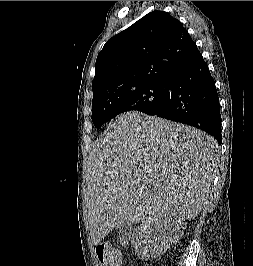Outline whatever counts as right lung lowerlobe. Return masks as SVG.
Segmentation results:
<instances>
[{"mask_svg": "<svg viewBox=\"0 0 253 266\" xmlns=\"http://www.w3.org/2000/svg\"><path fill=\"white\" fill-rule=\"evenodd\" d=\"M164 84L163 103L149 115L202 129L221 144L219 98L202 55L171 73Z\"/></svg>", "mask_w": 253, "mask_h": 266, "instance_id": "98d812e1", "label": "right lung lower lobe"}]
</instances>
